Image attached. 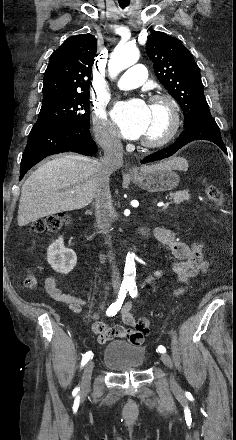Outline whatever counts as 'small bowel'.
<instances>
[{
	"label": "small bowel",
	"mask_w": 236,
	"mask_h": 440,
	"mask_svg": "<svg viewBox=\"0 0 236 440\" xmlns=\"http://www.w3.org/2000/svg\"><path fill=\"white\" fill-rule=\"evenodd\" d=\"M153 234L158 241L170 249L174 257V262L171 265V271L184 285L175 289L173 296H181L186 292L187 284L191 279L200 277L208 271L210 262L205 257L200 244L188 245L180 241L173 232L163 228H156L153 231ZM157 277V272L151 274L143 281V285H147ZM45 289L52 299L68 306L75 313H80L82 308L86 305V300L63 293L58 288L56 279L54 277H48L45 280ZM108 292L109 289L106 288L105 299L100 310H102L107 303ZM121 317L124 324H113L107 326V324L102 321H95L94 323L88 322L87 328H94V331L98 334V341L100 343H105L114 337H122V339H139L142 334L139 330H134L136 320L132 313L131 302L124 304L123 308L121 309ZM134 343H142V340Z\"/></svg>",
	"instance_id": "small-bowel-1"
}]
</instances>
